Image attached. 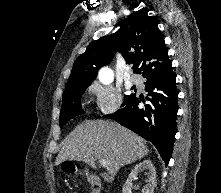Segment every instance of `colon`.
<instances>
[{
	"mask_svg": "<svg viewBox=\"0 0 221 193\" xmlns=\"http://www.w3.org/2000/svg\"><path fill=\"white\" fill-rule=\"evenodd\" d=\"M64 169L66 172H72L75 169V167H74V165L71 164V165L65 166ZM90 181L92 184V193H99V191H100L99 181L95 178H92V177L90 178Z\"/></svg>",
	"mask_w": 221,
	"mask_h": 193,
	"instance_id": "1",
	"label": "colon"
}]
</instances>
